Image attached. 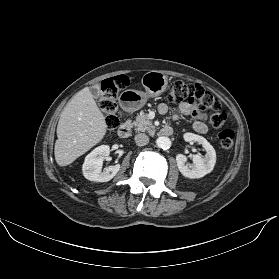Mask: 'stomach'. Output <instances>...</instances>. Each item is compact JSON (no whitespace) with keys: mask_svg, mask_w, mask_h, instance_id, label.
Wrapping results in <instances>:
<instances>
[{"mask_svg":"<svg viewBox=\"0 0 279 279\" xmlns=\"http://www.w3.org/2000/svg\"><path fill=\"white\" fill-rule=\"evenodd\" d=\"M145 91L126 90L121 93L119 103L127 112H135L142 108L149 98L161 95L168 86V78L161 71H150L141 80Z\"/></svg>","mask_w":279,"mask_h":279,"instance_id":"1","label":"stomach"}]
</instances>
